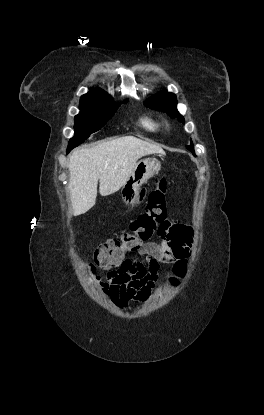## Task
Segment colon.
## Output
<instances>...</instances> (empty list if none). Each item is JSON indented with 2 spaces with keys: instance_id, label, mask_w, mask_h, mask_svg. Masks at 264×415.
Segmentation results:
<instances>
[{
  "instance_id": "1",
  "label": "colon",
  "mask_w": 264,
  "mask_h": 415,
  "mask_svg": "<svg viewBox=\"0 0 264 415\" xmlns=\"http://www.w3.org/2000/svg\"><path fill=\"white\" fill-rule=\"evenodd\" d=\"M167 187V179L161 177L149 196L146 210L130 222L127 230L117 237L106 240L95 249L91 264L93 271L119 269L127 261L129 254L139 251L142 244L154 235L163 237L169 234L171 222L167 219ZM183 272L184 264L177 263L168 277L171 286L178 285L179 277ZM126 293L125 289L115 293V301H124Z\"/></svg>"
}]
</instances>
